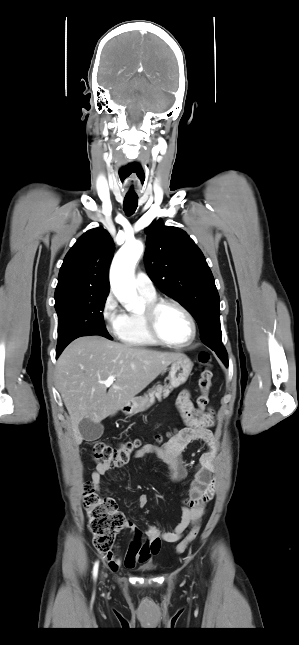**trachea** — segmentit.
Instances as JSON below:
<instances>
[{
    "label": "trachea",
    "instance_id": "1",
    "mask_svg": "<svg viewBox=\"0 0 299 645\" xmlns=\"http://www.w3.org/2000/svg\"><path fill=\"white\" fill-rule=\"evenodd\" d=\"M138 206V197L136 196H125L123 209L127 215H132Z\"/></svg>",
    "mask_w": 299,
    "mask_h": 645
}]
</instances>
